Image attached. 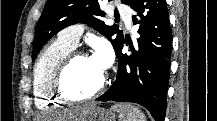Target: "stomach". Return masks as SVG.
Listing matches in <instances>:
<instances>
[{
  "instance_id": "obj_1",
  "label": "stomach",
  "mask_w": 217,
  "mask_h": 121,
  "mask_svg": "<svg viewBox=\"0 0 217 121\" xmlns=\"http://www.w3.org/2000/svg\"><path fill=\"white\" fill-rule=\"evenodd\" d=\"M116 115L103 107H94L85 117V121H115Z\"/></svg>"
}]
</instances>
